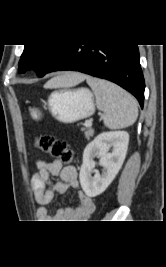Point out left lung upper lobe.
I'll return each instance as SVG.
<instances>
[{
	"label": "left lung upper lobe",
	"mask_w": 166,
	"mask_h": 267,
	"mask_svg": "<svg viewBox=\"0 0 166 267\" xmlns=\"http://www.w3.org/2000/svg\"><path fill=\"white\" fill-rule=\"evenodd\" d=\"M64 45H25L19 61V72L24 73L32 67L42 77L51 67Z\"/></svg>",
	"instance_id": "1"
}]
</instances>
